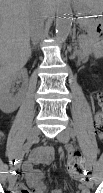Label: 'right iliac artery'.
Returning a JSON list of instances; mask_svg holds the SVG:
<instances>
[{"instance_id":"obj_1","label":"right iliac artery","mask_w":103,"mask_h":193,"mask_svg":"<svg viewBox=\"0 0 103 193\" xmlns=\"http://www.w3.org/2000/svg\"><path fill=\"white\" fill-rule=\"evenodd\" d=\"M33 143H34V141H33V142H32V141H29V142H27V143L23 146L21 152L19 153V155H18V157H17V159L15 160V163H14V165H15L16 168H19V167H20V164H21V162H22V160H23V157H24L25 153H27V152L30 150V148H31V146L33 145Z\"/></svg>"}]
</instances>
